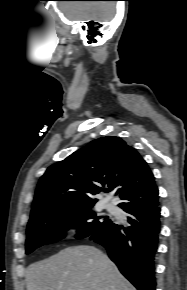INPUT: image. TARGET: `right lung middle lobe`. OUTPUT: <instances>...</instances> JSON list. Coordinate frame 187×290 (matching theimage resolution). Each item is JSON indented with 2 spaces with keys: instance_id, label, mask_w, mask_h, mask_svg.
I'll return each mask as SVG.
<instances>
[{
  "instance_id": "right-lung-middle-lobe-1",
  "label": "right lung middle lobe",
  "mask_w": 187,
  "mask_h": 290,
  "mask_svg": "<svg viewBox=\"0 0 187 290\" xmlns=\"http://www.w3.org/2000/svg\"><path fill=\"white\" fill-rule=\"evenodd\" d=\"M92 206L53 212L30 223L27 227L26 254L62 239L64 232L71 227L78 228L76 238L81 239L112 223L107 217H97L90 209Z\"/></svg>"
}]
</instances>
